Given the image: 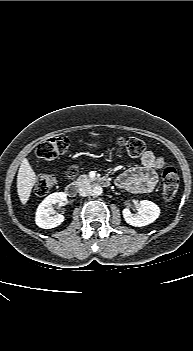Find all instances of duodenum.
Instances as JSON below:
<instances>
[{"label": "duodenum", "instance_id": "duodenum-1", "mask_svg": "<svg viewBox=\"0 0 193 351\" xmlns=\"http://www.w3.org/2000/svg\"><path fill=\"white\" fill-rule=\"evenodd\" d=\"M95 182H98L102 185H107L108 181L104 178H95L94 179ZM66 193L68 196L70 197H75L78 193V186L75 183H70L69 185H67L66 187Z\"/></svg>", "mask_w": 193, "mask_h": 351}]
</instances>
